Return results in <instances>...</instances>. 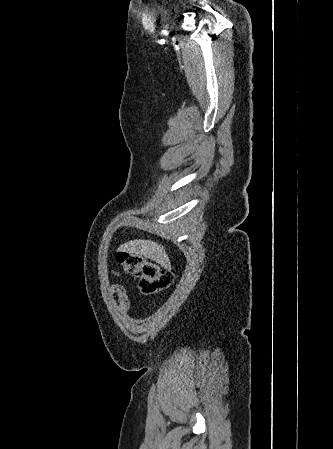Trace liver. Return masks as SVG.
Masks as SVG:
<instances>
[{
	"mask_svg": "<svg viewBox=\"0 0 333 449\" xmlns=\"http://www.w3.org/2000/svg\"><path fill=\"white\" fill-rule=\"evenodd\" d=\"M118 252L127 251L136 255H143L146 258L154 260L161 266H170L169 257L166 254L163 246L158 243L152 242L151 240H134L126 242L121 245Z\"/></svg>",
	"mask_w": 333,
	"mask_h": 449,
	"instance_id": "obj_1",
	"label": "liver"
}]
</instances>
